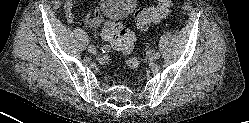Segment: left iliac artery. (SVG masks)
Returning a JSON list of instances; mask_svg holds the SVG:
<instances>
[{"label": "left iliac artery", "instance_id": "left-iliac-artery-1", "mask_svg": "<svg viewBox=\"0 0 249 123\" xmlns=\"http://www.w3.org/2000/svg\"><path fill=\"white\" fill-rule=\"evenodd\" d=\"M160 58V53L159 52H155V59H159Z\"/></svg>", "mask_w": 249, "mask_h": 123}]
</instances>
